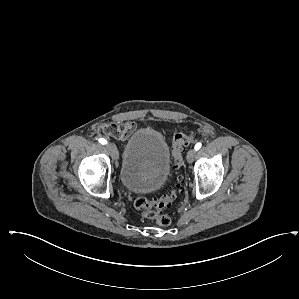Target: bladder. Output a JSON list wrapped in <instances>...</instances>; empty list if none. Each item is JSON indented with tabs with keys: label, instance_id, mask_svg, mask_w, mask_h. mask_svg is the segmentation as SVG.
Here are the masks:
<instances>
[{
	"label": "bladder",
	"instance_id": "1",
	"mask_svg": "<svg viewBox=\"0 0 299 299\" xmlns=\"http://www.w3.org/2000/svg\"><path fill=\"white\" fill-rule=\"evenodd\" d=\"M170 174V152L166 139L155 129L140 130L126 141L120 166V182L132 192H152Z\"/></svg>",
	"mask_w": 299,
	"mask_h": 299
}]
</instances>
